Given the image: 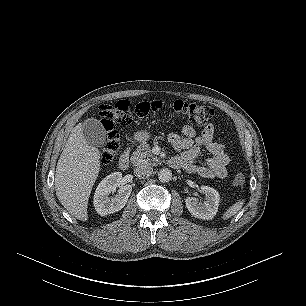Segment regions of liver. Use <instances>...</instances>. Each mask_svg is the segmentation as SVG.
<instances>
[{
  "label": "liver",
  "mask_w": 306,
  "mask_h": 306,
  "mask_svg": "<svg viewBox=\"0 0 306 306\" xmlns=\"http://www.w3.org/2000/svg\"><path fill=\"white\" fill-rule=\"evenodd\" d=\"M100 152L86 141L82 124L76 125L60 155L55 190L60 203L79 220L87 221L88 200L100 171Z\"/></svg>",
  "instance_id": "liver-1"
}]
</instances>
